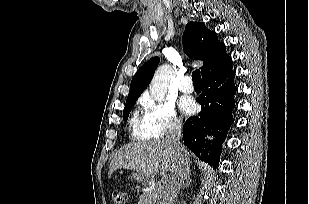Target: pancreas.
Masks as SVG:
<instances>
[{
    "instance_id": "cf45deb5",
    "label": "pancreas",
    "mask_w": 309,
    "mask_h": 204,
    "mask_svg": "<svg viewBox=\"0 0 309 204\" xmlns=\"http://www.w3.org/2000/svg\"><path fill=\"white\" fill-rule=\"evenodd\" d=\"M163 192L164 185L160 181L152 182L141 195V200L143 203L153 202L154 204H161L159 201L162 198Z\"/></svg>"
}]
</instances>
